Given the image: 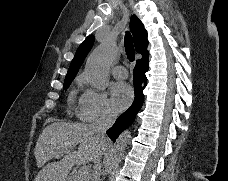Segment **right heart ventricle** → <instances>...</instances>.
I'll list each match as a JSON object with an SVG mask.
<instances>
[{"instance_id": "1", "label": "right heart ventricle", "mask_w": 228, "mask_h": 181, "mask_svg": "<svg viewBox=\"0 0 228 181\" xmlns=\"http://www.w3.org/2000/svg\"><path fill=\"white\" fill-rule=\"evenodd\" d=\"M74 84H77L79 86H84L86 84L85 77L83 75H77L74 79ZM74 93H75V88L73 87L72 94H74Z\"/></svg>"}]
</instances>
